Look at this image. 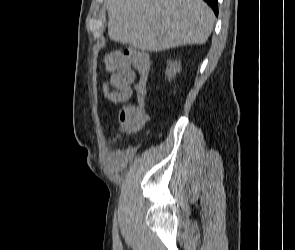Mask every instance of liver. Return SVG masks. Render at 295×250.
I'll return each instance as SVG.
<instances>
[{"label":"liver","instance_id":"1","mask_svg":"<svg viewBox=\"0 0 295 250\" xmlns=\"http://www.w3.org/2000/svg\"><path fill=\"white\" fill-rule=\"evenodd\" d=\"M108 35L150 52L202 45L215 15L202 0H107Z\"/></svg>","mask_w":295,"mask_h":250}]
</instances>
